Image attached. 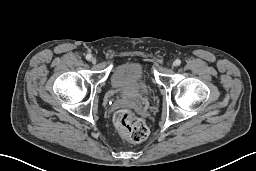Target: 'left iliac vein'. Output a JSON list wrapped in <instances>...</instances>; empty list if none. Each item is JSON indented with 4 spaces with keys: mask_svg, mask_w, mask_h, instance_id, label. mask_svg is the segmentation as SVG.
<instances>
[{
    "mask_svg": "<svg viewBox=\"0 0 256 171\" xmlns=\"http://www.w3.org/2000/svg\"><path fill=\"white\" fill-rule=\"evenodd\" d=\"M173 65H174V66H177V65L175 64V62L173 63Z\"/></svg>",
    "mask_w": 256,
    "mask_h": 171,
    "instance_id": "1",
    "label": "left iliac vein"
}]
</instances>
